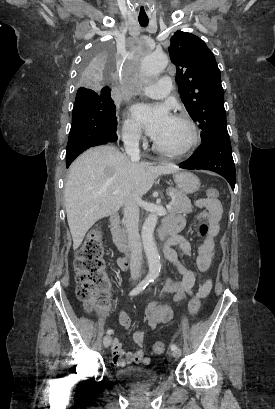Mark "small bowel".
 Masks as SVG:
<instances>
[{"mask_svg": "<svg viewBox=\"0 0 275 409\" xmlns=\"http://www.w3.org/2000/svg\"><path fill=\"white\" fill-rule=\"evenodd\" d=\"M197 207L200 209L198 214L199 219H206L210 225V231L204 241L199 245L197 250V267L200 272H206L212 265L214 253H215V238L219 231V223L222 215V207L219 201H213L208 198H199L196 201ZM168 220H180L181 218H171ZM170 245L178 246L183 254L187 257L192 254V247L187 238L182 235L174 234L170 240ZM170 247V254L166 255V258L172 263L181 275L180 281L168 280L163 283V288L171 291L175 294V301L181 302L186 296L194 295V286L196 277L194 271L185 266L178 257V254ZM125 265H121L124 267ZM212 288V281L207 280L203 286L199 289L203 292V297L206 296ZM122 319L120 325L122 328H130L132 321L130 317L122 313L120 315ZM126 318V319H124ZM143 318L149 329H155L158 325L167 323L172 318V309L169 305L158 304L155 302L146 303L143 307ZM145 334L143 331H137L133 340L135 344L140 348L134 353H124L121 348L119 340H114L112 344V355L114 363L117 366H126L128 364L141 362L142 364H149L150 358L141 350L144 343Z\"/></svg>", "mask_w": 275, "mask_h": 409, "instance_id": "obj_1", "label": "small bowel"}]
</instances>
